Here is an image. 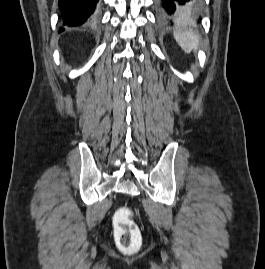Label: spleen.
I'll list each match as a JSON object with an SVG mask.
<instances>
[{
  "label": "spleen",
  "instance_id": "3e777b00",
  "mask_svg": "<svg viewBox=\"0 0 265 269\" xmlns=\"http://www.w3.org/2000/svg\"><path fill=\"white\" fill-rule=\"evenodd\" d=\"M174 38L179 46L186 53H190L192 50L196 51L199 46L200 37L192 29H180L174 32Z\"/></svg>",
  "mask_w": 265,
  "mask_h": 269
}]
</instances>
